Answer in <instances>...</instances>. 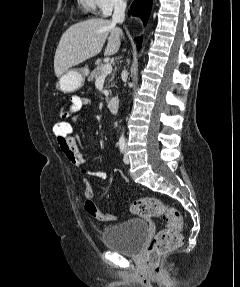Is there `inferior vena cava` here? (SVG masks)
Masks as SVG:
<instances>
[{
	"label": "inferior vena cava",
	"instance_id": "inferior-vena-cava-1",
	"mask_svg": "<svg viewBox=\"0 0 240 287\" xmlns=\"http://www.w3.org/2000/svg\"><path fill=\"white\" fill-rule=\"evenodd\" d=\"M126 2L124 0H114L113 23H123L125 19Z\"/></svg>",
	"mask_w": 240,
	"mask_h": 287
}]
</instances>
